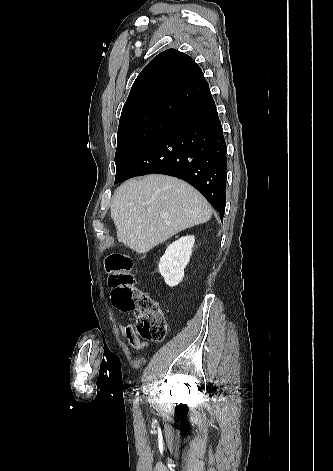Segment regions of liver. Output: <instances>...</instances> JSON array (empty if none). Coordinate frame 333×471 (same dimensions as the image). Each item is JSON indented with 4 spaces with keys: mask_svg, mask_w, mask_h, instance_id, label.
<instances>
[{
    "mask_svg": "<svg viewBox=\"0 0 333 471\" xmlns=\"http://www.w3.org/2000/svg\"><path fill=\"white\" fill-rule=\"evenodd\" d=\"M211 216V206L198 191L160 174L125 182L115 191L111 205L119 241L138 254Z\"/></svg>",
    "mask_w": 333,
    "mask_h": 471,
    "instance_id": "obj_1",
    "label": "liver"
}]
</instances>
